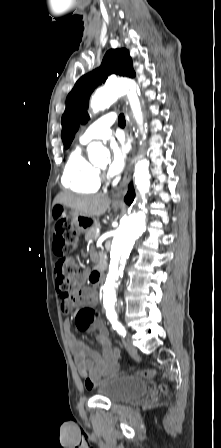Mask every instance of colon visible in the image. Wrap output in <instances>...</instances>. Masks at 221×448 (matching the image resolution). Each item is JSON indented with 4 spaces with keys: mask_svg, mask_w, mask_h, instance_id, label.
<instances>
[{
    "mask_svg": "<svg viewBox=\"0 0 221 448\" xmlns=\"http://www.w3.org/2000/svg\"><path fill=\"white\" fill-rule=\"evenodd\" d=\"M54 235L57 240H60V249L62 251L61 258L55 271L56 283L59 287L61 298L68 299L78 280L75 277V263L68 255V253L72 252L78 244V232L75 229L73 220L70 218L58 217L54 226ZM85 315L87 316L85 325L88 326L93 320L94 310L92 308H87L85 310ZM136 374L144 378H152L156 375V371L142 370L138 371ZM99 383V380L91 378H86L84 381L85 388L88 390L93 389ZM161 388L163 391L166 390L164 385H162Z\"/></svg>",
    "mask_w": 221,
    "mask_h": 448,
    "instance_id": "1",
    "label": "colon"
}]
</instances>
